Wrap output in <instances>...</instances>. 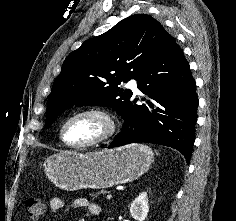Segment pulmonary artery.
Masks as SVG:
<instances>
[{
  "label": "pulmonary artery",
  "instance_id": "pulmonary-artery-1",
  "mask_svg": "<svg viewBox=\"0 0 236 221\" xmlns=\"http://www.w3.org/2000/svg\"><path fill=\"white\" fill-rule=\"evenodd\" d=\"M129 87L134 91V92H138V87H137V80L133 79L129 82Z\"/></svg>",
  "mask_w": 236,
  "mask_h": 221
}]
</instances>
